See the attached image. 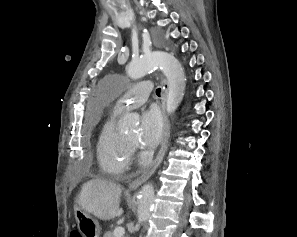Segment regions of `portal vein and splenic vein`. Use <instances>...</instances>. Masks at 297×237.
Instances as JSON below:
<instances>
[{
	"label": "portal vein and splenic vein",
	"mask_w": 297,
	"mask_h": 237,
	"mask_svg": "<svg viewBox=\"0 0 297 237\" xmlns=\"http://www.w3.org/2000/svg\"><path fill=\"white\" fill-rule=\"evenodd\" d=\"M125 234V230L123 227H117L114 229L113 235L114 237H123Z\"/></svg>",
	"instance_id": "1"
}]
</instances>
